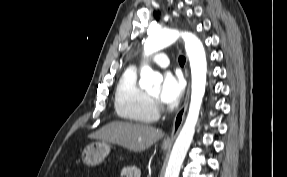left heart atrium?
Returning a JSON list of instances; mask_svg holds the SVG:
<instances>
[{"label":"left heart atrium","mask_w":287,"mask_h":177,"mask_svg":"<svg viewBox=\"0 0 287 177\" xmlns=\"http://www.w3.org/2000/svg\"><path fill=\"white\" fill-rule=\"evenodd\" d=\"M184 82L180 75L172 71L165 72L160 89V99L166 105L174 104L184 92Z\"/></svg>","instance_id":"1"}]
</instances>
